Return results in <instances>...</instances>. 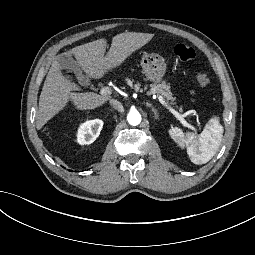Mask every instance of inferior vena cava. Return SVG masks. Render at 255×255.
I'll use <instances>...</instances> for the list:
<instances>
[{"mask_svg": "<svg viewBox=\"0 0 255 255\" xmlns=\"http://www.w3.org/2000/svg\"><path fill=\"white\" fill-rule=\"evenodd\" d=\"M110 105H111L114 109H116L117 111H119V112H123V111H124L123 105H122L119 101H117V100H115V99H111V100H110Z\"/></svg>", "mask_w": 255, "mask_h": 255, "instance_id": "obj_1", "label": "inferior vena cava"}]
</instances>
